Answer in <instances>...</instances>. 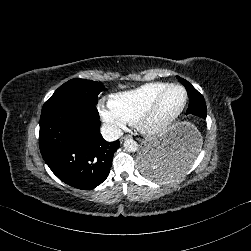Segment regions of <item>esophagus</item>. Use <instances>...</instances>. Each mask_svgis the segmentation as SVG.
Returning a JSON list of instances; mask_svg holds the SVG:
<instances>
[{
    "instance_id": "obj_1",
    "label": "esophagus",
    "mask_w": 251,
    "mask_h": 251,
    "mask_svg": "<svg viewBox=\"0 0 251 251\" xmlns=\"http://www.w3.org/2000/svg\"><path fill=\"white\" fill-rule=\"evenodd\" d=\"M128 138H130V136L129 135H125V136H123V137L120 138V142L122 143L124 140H126Z\"/></svg>"
}]
</instances>
